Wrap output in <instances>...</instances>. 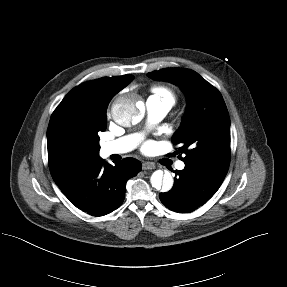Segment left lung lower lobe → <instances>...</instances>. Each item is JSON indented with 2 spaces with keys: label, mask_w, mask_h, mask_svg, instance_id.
<instances>
[{
  "label": "left lung lower lobe",
  "mask_w": 287,
  "mask_h": 287,
  "mask_svg": "<svg viewBox=\"0 0 287 287\" xmlns=\"http://www.w3.org/2000/svg\"><path fill=\"white\" fill-rule=\"evenodd\" d=\"M174 186L165 193H160L161 202L175 212L194 211L210 199L223 181L208 174L202 168L185 164L183 170L174 171Z\"/></svg>",
  "instance_id": "0a47b994"
}]
</instances>
